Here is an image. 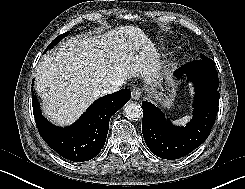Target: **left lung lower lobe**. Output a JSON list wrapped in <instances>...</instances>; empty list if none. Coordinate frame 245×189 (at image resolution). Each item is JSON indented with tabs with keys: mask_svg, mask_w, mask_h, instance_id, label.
I'll list each match as a JSON object with an SVG mask.
<instances>
[{
	"mask_svg": "<svg viewBox=\"0 0 245 189\" xmlns=\"http://www.w3.org/2000/svg\"><path fill=\"white\" fill-rule=\"evenodd\" d=\"M185 74L194 83L193 119L185 127L175 126L150 102L143 101L142 133L153 154L163 159H179L199 147L209 136L219 106V79L215 64L199 59L180 67L175 75Z\"/></svg>",
	"mask_w": 245,
	"mask_h": 189,
	"instance_id": "1",
	"label": "left lung lower lobe"
}]
</instances>
